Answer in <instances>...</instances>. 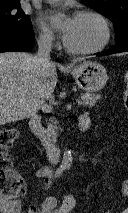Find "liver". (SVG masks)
<instances>
[{"label": "liver", "mask_w": 128, "mask_h": 213, "mask_svg": "<svg viewBox=\"0 0 128 213\" xmlns=\"http://www.w3.org/2000/svg\"><path fill=\"white\" fill-rule=\"evenodd\" d=\"M56 84L54 63L43 77L34 56L0 53V126L34 116L45 101L40 95L42 87L53 92Z\"/></svg>", "instance_id": "liver-1"}]
</instances>
